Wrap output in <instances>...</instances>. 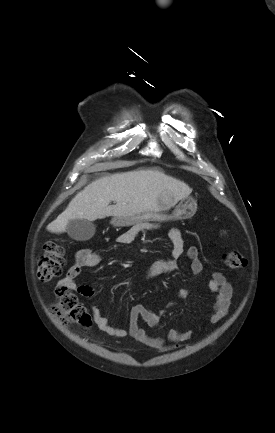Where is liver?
I'll return each mask as SVG.
<instances>
[{
	"label": "liver",
	"mask_w": 275,
	"mask_h": 433,
	"mask_svg": "<svg viewBox=\"0 0 275 433\" xmlns=\"http://www.w3.org/2000/svg\"><path fill=\"white\" fill-rule=\"evenodd\" d=\"M192 189L164 172L141 169L96 179L76 194L67 208L47 226L52 233H63L70 220L95 221L155 211L159 202L170 197L176 202L187 198ZM113 201L116 204L109 206Z\"/></svg>",
	"instance_id": "1"
}]
</instances>
